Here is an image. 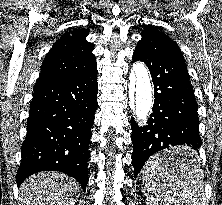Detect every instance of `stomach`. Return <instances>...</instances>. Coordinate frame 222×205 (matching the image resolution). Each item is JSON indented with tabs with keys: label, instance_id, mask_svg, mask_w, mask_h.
<instances>
[{
	"label": "stomach",
	"instance_id": "stomach-1",
	"mask_svg": "<svg viewBox=\"0 0 222 205\" xmlns=\"http://www.w3.org/2000/svg\"><path fill=\"white\" fill-rule=\"evenodd\" d=\"M191 149L189 147H172L169 148L167 150H164L161 155L166 156V157H174L176 155H181V154H185L187 152H190ZM192 154V152L190 153ZM190 164H196V160L194 158H192L190 160Z\"/></svg>",
	"mask_w": 222,
	"mask_h": 205
}]
</instances>
